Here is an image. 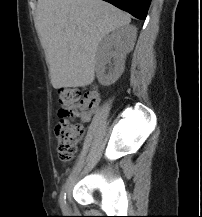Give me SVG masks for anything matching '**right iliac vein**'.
<instances>
[{
    "label": "right iliac vein",
    "instance_id": "right-iliac-vein-1",
    "mask_svg": "<svg viewBox=\"0 0 202 217\" xmlns=\"http://www.w3.org/2000/svg\"><path fill=\"white\" fill-rule=\"evenodd\" d=\"M67 211V204H65V207L63 209V212H66Z\"/></svg>",
    "mask_w": 202,
    "mask_h": 217
}]
</instances>
